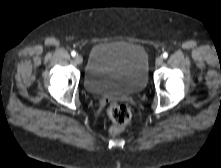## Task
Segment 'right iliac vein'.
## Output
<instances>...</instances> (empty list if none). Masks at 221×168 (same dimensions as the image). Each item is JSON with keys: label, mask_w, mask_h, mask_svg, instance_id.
Wrapping results in <instances>:
<instances>
[{"label": "right iliac vein", "mask_w": 221, "mask_h": 168, "mask_svg": "<svg viewBox=\"0 0 221 168\" xmlns=\"http://www.w3.org/2000/svg\"><path fill=\"white\" fill-rule=\"evenodd\" d=\"M75 62H76L77 64H81V63L83 62L82 56H81V55H77V56L75 57Z\"/></svg>", "instance_id": "right-iliac-vein-1"}]
</instances>
